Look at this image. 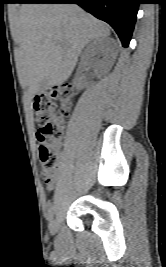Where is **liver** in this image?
I'll return each mask as SVG.
<instances>
[{"label": "liver", "mask_w": 166, "mask_h": 267, "mask_svg": "<svg viewBox=\"0 0 166 267\" xmlns=\"http://www.w3.org/2000/svg\"><path fill=\"white\" fill-rule=\"evenodd\" d=\"M19 44V79L36 95L71 75L84 46L110 35L109 27L76 4H23L12 28Z\"/></svg>", "instance_id": "6515ba94"}]
</instances>
